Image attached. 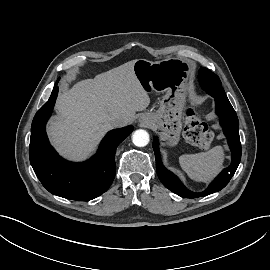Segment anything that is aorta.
I'll list each match as a JSON object with an SVG mask.
<instances>
[{
    "mask_svg": "<svg viewBox=\"0 0 270 270\" xmlns=\"http://www.w3.org/2000/svg\"><path fill=\"white\" fill-rule=\"evenodd\" d=\"M132 141L135 146L144 147L149 143V134L146 130H136L132 135Z\"/></svg>",
    "mask_w": 270,
    "mask_h": 270,
    "instance_id": "1",
    "label": "aorta"
}]
</instances>
